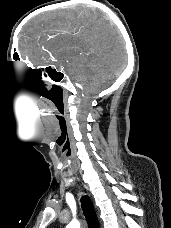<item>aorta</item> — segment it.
Returning <instances> with one entry per match:
<instances>
[{"label":"aorta","mask_w":171,"mask_h":228,"mask_svg":"<svg viewBox=\"0 0 171 228\" xmlns=\"http://www.w3.org/2000/svg\"><path fill=\"white\" fill-rule=\"evenodd\" d=\"M66 228H80V224L78 221L73 220L66 226Z\"/></svg>","instance_id":"1"}]
</instances>
